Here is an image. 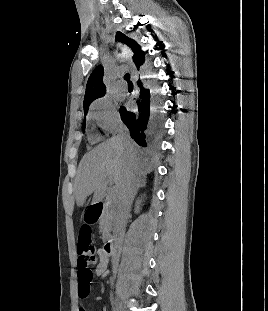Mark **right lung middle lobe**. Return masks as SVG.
Segmentation results:
<instances>
[{
	"label": "right lung middle lobe",
	"instance_id": "obj_1",
	"mask_svg": "<svg viewBox=\"0 0 268 311\" xmlns=\"http://www.w3.org/2000/svg\"><path fill=\"white\" fill-rule=\"evenodd\" d=\"M85 113V115L87 114V112H84ZM85 129V123H84V125H83V130Z\"/></svg>",
	"mask_w": 268,
	"mask_h": 311
}]
</instances>
